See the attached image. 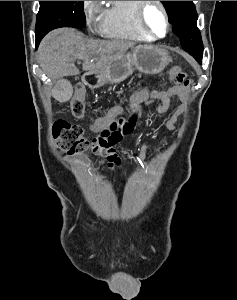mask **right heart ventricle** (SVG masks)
<instances>
[{
  "instance_id": "obj_1",
  "label": "right heart ventricle",
  "mask_w": 237,
  "mask_h": 300,
  "mask_svg": "<svg viewBox=\"0 0 237 300\" xmlns=\"http://www.w3.org/2000/svg\"><path fill=\"white\" fill-rule=\"evenodd\" d=\"M141 1H108L104 10L100 30L110 37L149 39L138 18Z\"/></svg>"
}]
</instances>
